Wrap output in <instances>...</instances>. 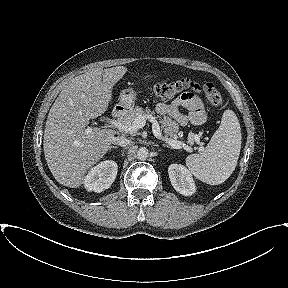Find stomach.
I'll use <instances>...</instances> for the list:
<instances>
[{"instance_id": "obj_1", "label": "stomach", "mask_w": 288, "mask_h": 288, "mask_svg": "<svg viewBox=\"0 0 288 288\" xmlns=\"http://www.w3.org/2000/svg\"><path fill=\"white\" fill-rule=\"evenodd\" d=\"M136 96L137 93L132 88L122 90L119 96V103L116 105V108L123 112L132 110L135 105Z\"/></svg>"}]
</instances>
